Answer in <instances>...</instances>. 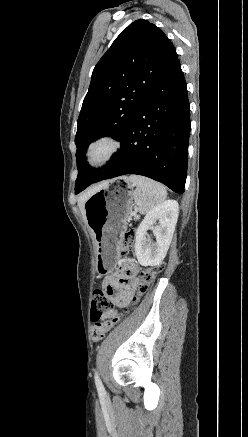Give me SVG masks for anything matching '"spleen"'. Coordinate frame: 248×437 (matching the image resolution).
<instances>
[{
	"mask_svg": "<svg viewBox=\"0 0 248 437\" xmlns=\"http://www.w3.org/2000/svg\"><path fill=\"white\" fill-rule=\"evenodd\" d=\"M129 181L136 186L133 199L140 213L150 212L167 198L165 187L154 180L144 176L130 175Z\"/></svg>",
	"mask_w": 248,
	"mask_h": 437,
	"instance_id": "3e777b00",
	"label": "spleen"
}]
</instances>
